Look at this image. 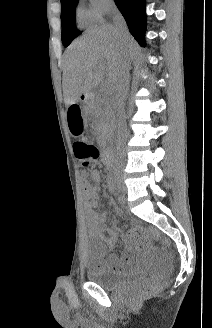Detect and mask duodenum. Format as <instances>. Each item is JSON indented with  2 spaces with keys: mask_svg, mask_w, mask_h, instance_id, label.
I'll list each match as a JSON object with an SVG mask.
<instances>
[{
  "mask_svg": "<svg viewBox=\"0 0 212 328\" xmlns=\"http://www.w3.org/2000/svg\"><path fill=\"white\" fill-rule=\"evenodd\" d=\"M103 156H104L105 161H106L107 163H109L110 158H109V153H108V150H107V149L104 151Z\"/></svg>",
  "mask_w": 212,
  "mask_h": 328,
  "instance_id": "410a0bca",
  "label": "duodenum"
}]
</instances>
